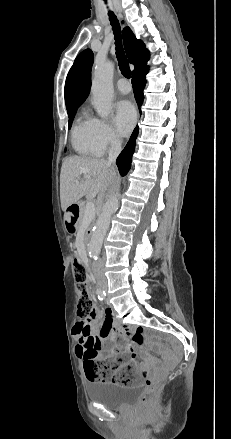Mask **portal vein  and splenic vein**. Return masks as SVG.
Masks as SVG:
<instances>
[{
  "label": "portal vein and splenic vein",
  "mask_w": 231,
  "mask_h": 439,
  "mask_svg": "<svg viewBox=\"0 0 231 439\" xmlns=\"http://www.w3.org/2000/svg\"><path fill=\"white\" fill-rule=\"evenodd\" d=\"M95 215V204L92 201L87 202L85 219H91Z\"/></svg>",
  "instance_id": "obj_1"
}]
</instances>
